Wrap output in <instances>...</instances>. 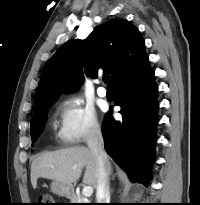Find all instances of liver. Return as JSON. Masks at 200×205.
<instances>
[{
    "instance_id": "liver-1",
    "label": "liver",
    "mask_w": 200,
    "mask_h": 205,
    "mask_svg": "<svg viewBox=\"0 0 200 205\" xmlns=\"http://www.w3.org/2000/svg\"><path fill=\"white\" fill-rule=\"evenodd\" d=\"M86 168L83 183L94 188L98 184V167L92 152L83 146L46 152L38 155L31 164V183L35 188L42 177L72 186ZM111 171V163L109 162Z\"/></svg>"
}]
</instances>
